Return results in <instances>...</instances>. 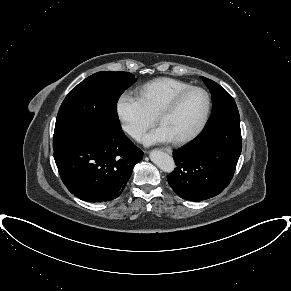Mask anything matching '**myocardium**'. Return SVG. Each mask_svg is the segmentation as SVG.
<instances>
[{
	"label": "myocardium",
	"instance_id": "1",
	"mask_svg": "<svg viewBox=\"0 0 291 291\" xmlns=\"http://www.w3.org/2000/svg\"><path fill=\"white\" fill-rule=\"evenodd\" d=\"M193 91H199L202 92L205 95L206 98V107L204 110V113L201 117V120L199 121L198 125L196 126V128L187 136L176 139V140H172L174 144L177 145H182V144H186L190 141H192L193 139H195L204 129V127L206 126L209 116H210V112H211V108H212V98L210 93L203 87H199V86H190L186 89H183L181 91H179L178 93H176L174 96H172L167 102L166 104L159 110V112L156 115V121L157 123L160 124L162 118L168 114H170L176 107L177 105L180 103V101L189 93L193 92Z\"/></svg>",
	"mask_w": 291,
	"mask_h": 291
}]
</instances>
